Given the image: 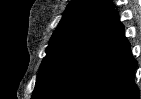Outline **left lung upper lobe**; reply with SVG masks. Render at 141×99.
Returning <instances> with one entry per match:
<instances>
[{
  "label": "left lung upper lobe",
  "instance_id": "1",
  "mask_svg": "<svg viewBox=\"0 0 141 99\" xmlns=\"http://www.w3.org/2000/svg\"><path fill=\"white\" fill-rule=\"evenodd\" d=\"M111 0H72L54 31L40 66L32 99H38L56 80L80 47L113 12Z\"/></svg>",
  "mask_w": 141,
  "mask_h": 99
}]
</instances>
